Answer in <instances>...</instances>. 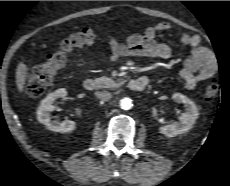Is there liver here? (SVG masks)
Wrapping results in <instances>:
<instances>
[{
  "label": "liver",
  "mask_w": 230,
  "mask_h": 186,
  "mask_svg": "<svg viewBox=\"0 0 230 186\" xmlns=\"http://www.w3.org/2000/svg\"><path fill=\"white\" fill-rule=\"evenodd\" d=\"M27 71V65L24 62H20L16 69V85L20 93L23 92L25 87V82L28 77Z\"/></svg>",
  "instance_id": "6515ba94"
}]
</instances>
